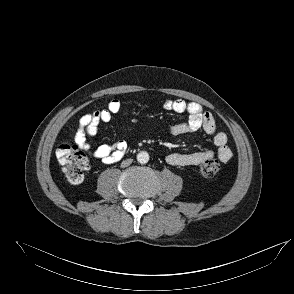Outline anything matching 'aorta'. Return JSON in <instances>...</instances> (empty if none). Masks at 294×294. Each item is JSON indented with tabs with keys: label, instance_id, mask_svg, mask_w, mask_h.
I'll list each match as a JSON object with an SVG mask.
<instances>
[{
	"label": "aorta",
	"instance_id": "obj_1",
	"mask_svg": "<svg viewBox=\"0 0 294 294\" xmlns=\"http://www.w3.org/2000/svg\"><path fill=\"white\" fill-rule=\"evenodd\" d=\"M149 154L146 151H141L137 154V161L140 164H146L149 161Z\"/></svg>",
	"mask_w": 294,
	"mask_h": 294
}]
</instances>
